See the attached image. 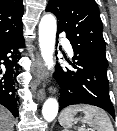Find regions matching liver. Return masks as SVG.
<instances>
[{
    "instance_id": "liver-1",
    "label": "liver",
    "mask_w": 117,
    "mask_h": 131,
    "mask_svg": "<svg viewBox=\"0 0 117 131\" xmlns=\"http://www.w3.org/2000/svg\"><path fill=\"white\" fill-rule=\"evenodd\" d=\"M14 119L12 114L0 105V131H13Z\"/></svg>"
}]
</instances>
